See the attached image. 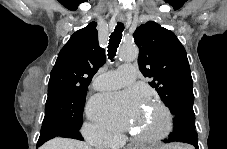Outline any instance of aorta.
<instances>
[{"instance_id":"aorta-1","label":"aorta","mask_w":227,"mask_h":149,"mask_svg":"<svg viewBox=\"0 0 227 149\" xmlns=\"http://www.w3.org/2000/svg\"><path fill=\"white\" fill-rule=\"evenodd\" d=\"M137 56L138 50L133 46H124L119 53V58L122 61H133Z\"/></svg>"}]
</instances>
